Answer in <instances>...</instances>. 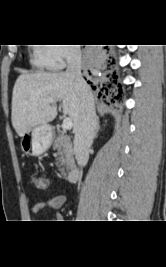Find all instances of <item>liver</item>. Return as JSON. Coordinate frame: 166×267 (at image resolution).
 Here are the masks:
<instances>
[{
	"instance_id": "liver-1",
	"label": "liver",
	"mask_w": 166,
	"mask_h": 267,
	"mask_svg": "<svg viewBox=\"0 0 166 267\" xmlns=\"http://www.w3.org/2000/svg\"><path fill=\"white\" fill-rule=\"evenodd\" d=\"M58 101H62L63 113L72 119L75 131L79 124L82 94L66 74H21L12 95L11 120L16 133L22 137L33 128L53 121L57 116Z\"/></svg>"
}]
</instances>
